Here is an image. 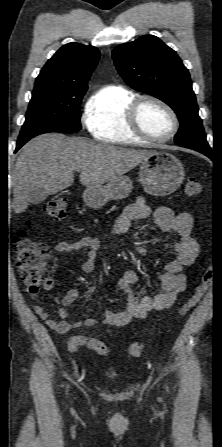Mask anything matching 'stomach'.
I'll return each instance as SVG.
<instances>
[{
    "label": "stomach",
    "instance_id": "stomach-1",
    "mask_svg": "<svg viewBox=\"0 0 222 447\" xmlns=\"http://www.w3.org/2000/svg\"><path fill=\"white\" fill-rule=\"evenodd\" d=\"M184 180V167L172 154L164 151L154 153L143 160L139 170V181L143 189L154 196H165L178 189ZM133 189L132 180L120 176L104 186L87 187L84 202L92 208H100L109 200L123 199Z\"/></svg>",
    "mask_w": 222,
    "mask_h": 447
}]
</instances>
